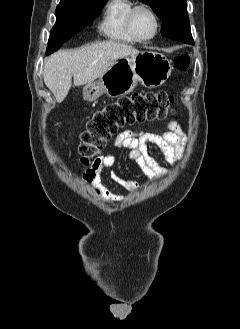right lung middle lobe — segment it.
<instances>
[{
    "instance_id": "dd1d6c3e",
    "label": "right lung middle lobe",
    "mask_w": 240,
    "mask_h": 329,
    "mask_svg": "<svg viewBox=\"0 0 240 329\" xmlns=\"http://www.w3.org/2000/svg\"><path fill=\"white\" fill-rule=\"evenodd\" d=\"M107 0H91L59 4L56 9V23L52 28L47 54L56 51L66 40L86 25H90Z\"/></svg>"
}]
</instances>
